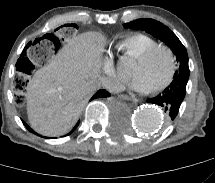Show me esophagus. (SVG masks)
Here are the masks:
<instances>
[{
	"mask_svg": "<svg viewBox=\"0 0 215 183\" xmlns=\"http://www.w3.org/2000/svg\"><path fill=\"white\" fill-rule=\"evenodd\" d=\"M118 97L123 100H131V97L126 94H120Z\"/></svg>",
	"mask_w": 215,
	"mask_h": 183,
	"instance_id": "esophagus-1",
	"label": "esophagus"
}]
</instances>
